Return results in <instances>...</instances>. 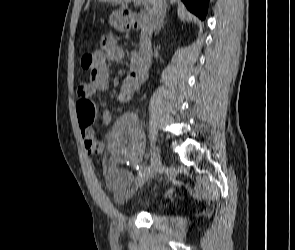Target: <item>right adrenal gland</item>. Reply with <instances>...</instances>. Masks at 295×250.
I'll use <instances>...</instances> for the list:
<instances>
[{
  "instance_id": "right-adrenal-gland-1",
  "label": "right adrenal gland",
  "mask_w": 295,
  "mask_h": 250,
  "mask_svg": "<svg viewBox=\"0 0 295 250\" xmlns=\"http://www.w3.org/2000/svg\"><path fill=\"white\" fill-rule=\"evenodd\" d=\"M166 9H167V7L165 6L164 13H163V15L159 21L158 27H157V32H159V30L164 26V23H165L164 19L166 17Z\"/></svg>"
}]
</instances>
